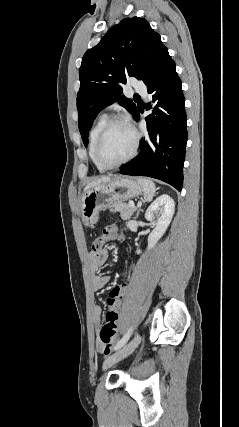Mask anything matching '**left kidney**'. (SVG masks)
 <instances>
[{
	"mask_svg": "<svg viewBox=\"0 0 239 427\" xmlns=\"http://www.w3.org/2000/svg\"><path fill=\"white\" fill-rule=\"evenodd\" d=\"M175 202L167 194L159 196L147 209L145 218L155 220V228L148 236V249H152L163 236L174 215Z\"/></svg>",
	"mask_w": 239,
	"mask_h": 427,
	"instance_id": "1",
	"label": "left kidney"
}]
</instances>
